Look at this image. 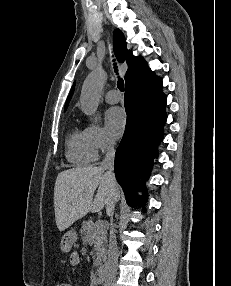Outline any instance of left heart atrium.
Listing matches in <instances>:
<instances>
[{
  "label": "left heart atrium",
  "mask_w": 231,
  "mask_h": 286,
  "mask_svg": "<svg viewBox=\"0 0 231 286\" xmlns=\"http://www.w3.org/2000/svg\"><path fill=\"white\" fill-rule=\"evenodd\" d=\"M126 114L120 107H112L107 110L105 114V125L109 134L118 138L124 132L126 127Z\"/></svg>",
  "instance_id": "left-heart-atrium-1"
}]
</instances>
